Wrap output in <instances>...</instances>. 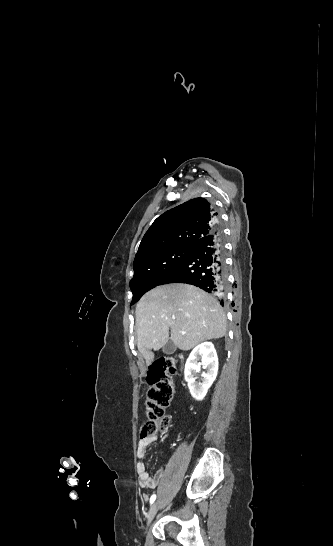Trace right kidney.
Listing matches in <instances>:
<instances>
[{"label":"right kidney","instance_id":"ca27d5eb","mask_svg":"<svg viewBox=\"0 0 333 546\" xmlns=\"http://www.w3.org/2000/svg\"><path fill=\"white\" fill-rule=\"evenodd\" d=\"M199 357L202 358V364L206 368V372L202 373V382H196V374L199 372L200 364ZM218 372V357L214 345L210 342L202 343L196 346L190 353L185 364V380L191 395L196 400H202L212 383L214 382Z\"/></svg>","mask_w":333,"mask_h":546}]
</instances>
